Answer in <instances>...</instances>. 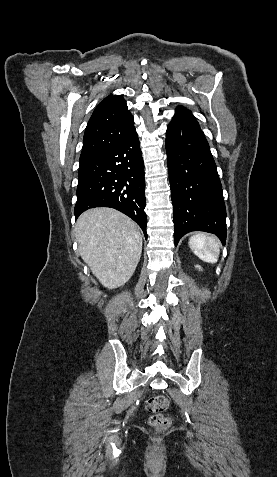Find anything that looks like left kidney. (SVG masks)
Wrapping results in <instances>:
<instances>
[{
  "mask_svg": "<svg viewBox=\"0 0 277 477\" xmlns=\"http://www.w3.org/2000/svg\"><path fill=\"white\" fill-rule=\"evenodd\" d=\"M197 268L201 269V267L199 265L196 266Z\"/></svg>",
  "mask_w": 277,
  "mask_h": 477,
  "instance_id": "5707ae66",
  "label": "left kidney"
}]
</instances>
